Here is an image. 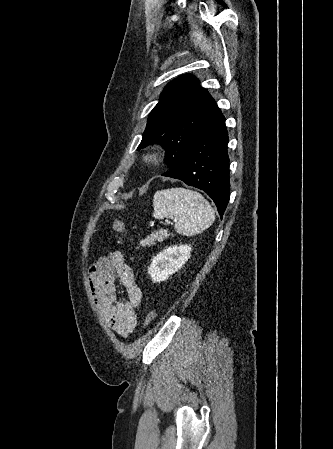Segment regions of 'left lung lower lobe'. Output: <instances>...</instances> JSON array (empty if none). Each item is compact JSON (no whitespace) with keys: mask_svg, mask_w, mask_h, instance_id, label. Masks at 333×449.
<instances>
[{"mask_svg":"<svg viewBox=\"0 0 333 449\" xmlns=\"http://www.w3.org/2000/svg\"><path fill=\"white\" fill-rule=\"evenodd\" d=\"M228 132L217 105L211 110L182 164L163 173L206 192L222 217L229 201Z\"/></svg>","mask_w":333,"mask_h":449,"instance_id":"obj_1","label":"left lung lower lobe"}]
</instances>
